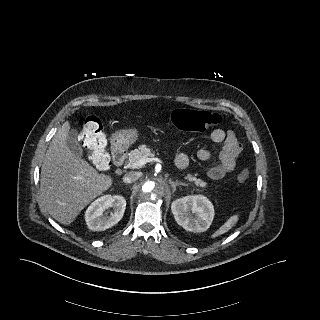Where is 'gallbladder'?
Wrapping results in <instances>:
<instances>
[{
	"mask_svg": "<svg viewBox=\"0 0 320 320\" xmlns=\"http://www.w3.org/2000/svg\"><path fill=\"white\" fill-rule=\"evenodd\" d=\"M77 137V131L74 129L70 130L66 139V144L74 154H76L77 156H82L83 151Z\"/></svg>",
	"mask_w": 320,
	"mask_h": 320,
	"instance_id": "obj_1",
	"label": "gallbladder"
}]
</instances>
